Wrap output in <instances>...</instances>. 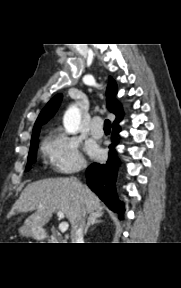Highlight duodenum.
<instances>
[{"mask_svg": "<svg viewBox=\"0 0 181 288\" xmlns=\"http://www.w3.org/2000/svg\"><path fill=\"white\" fill-rule=\"evenodd\" d=\"M39 239H41V240H47V239H49V235L39 234Z\"/></svg>", "mask_w": 181, "mask_h": 288, "instance_id": "obj_1", "label": "duodenum"}]
</instances>
